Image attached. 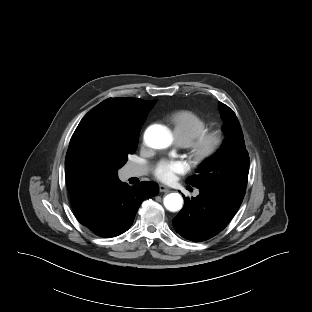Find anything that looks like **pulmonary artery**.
<instances>
[{
  "label": "pulmonary artery",
  "instance_id": "e3ab8cb5",
  "mask_svg": "<svg viewBox=\"0 0 312 312\" xmlns=\"http://www.w3.org/2000/svg\"><path fill=\"white\" fill-rule=\"evenodd\" d=\"M181 143V142H180ZM184 144V143H182ZM186 145V144H184ZM147 168L142 165H130L127 169V176L128 177H135V176H142L146 174ZM198 192H195V195H197Z\"/></svg>",
  "mask_w": 312,
  "mask_h": 312
}]
</instances>
